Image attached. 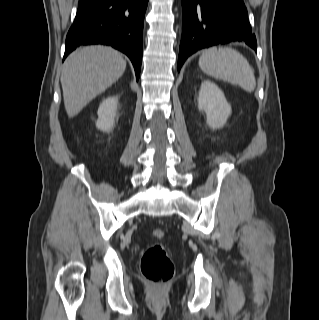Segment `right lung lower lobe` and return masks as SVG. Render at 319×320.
Segmentation results:
<instances>
[{
    "instance_id": "right-lung-lower-lobe-1",
    "label": "right lung lower lobe",
    "mask_w": 319,
    "mask_h": 320,
    "mask_svg": "<svg viewBox=\"0 0 319 320\" xmlns=\"http://www.w3.org/2000/svg\"><path fill=\"white\" fill-rule=\"evenodd\" d=\"M147 4L148 0H79L64 59L82 44L111 45L131 59L138 80Z\"/></svg>"
}]
</instances>
